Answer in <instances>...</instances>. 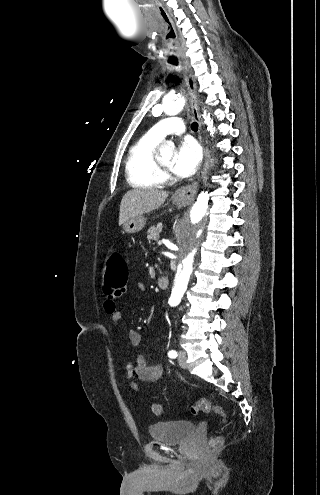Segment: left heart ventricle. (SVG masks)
<instances>
[{
  "label": "left heart ventricle",
  "mask_w": 320,
  "mask_h": 495,
  "mask_svg": "<svg viewBox=\"0 0 320 495\" xmlns=\"http://www.w3.org/2000/svg\"><path fill=\"white\" fill-rule=\"evenodd\" d=\"M159 157H160V160L162 161V163L164 165H166L167 167H170L171 163L173 161V158H174V154H173V152H168V153H163V154L159 155Z\"/></svg>",
  "instance_id": "left-heart-ventricle-1"
}]
</instances>
